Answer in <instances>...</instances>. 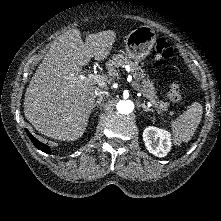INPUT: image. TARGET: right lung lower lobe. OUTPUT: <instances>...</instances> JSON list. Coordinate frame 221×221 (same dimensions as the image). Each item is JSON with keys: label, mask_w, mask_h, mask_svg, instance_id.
Masks as SVG:
<instances>
[{"label": "right lung lower lobe", "mask_w": 221, "mask_h": 221, "mask_svg": "<svg viewBox=\"0 0 221 221\" xmlns=\"http://www.w3.org/2000/svg\"><path fill=\"white\" fill-rule=\"evenodd\" d=\"M26 133L37 149L42 150L45 153L51 154L49 146L35 139L27 129H26Z\"/></svg>", "instance_id": "right-lung-lower-lobe-1"}]
</instances>
